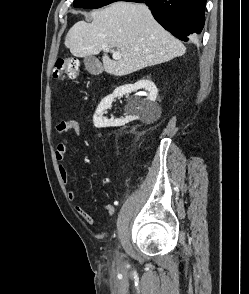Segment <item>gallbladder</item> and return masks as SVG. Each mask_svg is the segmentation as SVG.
<instances>
[{
    "label": "gallbladder",
    "instance_id": "obj_1",
    "mask_svg": "<svg viewBox=\"0 0 249 294\" xmlns=\"http://www.w3.org/2000/svg\"><path fill=\"white\" fill-rule=\"evenodd\" d=\"M85 69L92 75H99L103 72V66L94 56L84 57Z\"/></svg>",
    "mask_w": 249,
    "mask_h": 294
}]
</instances>
